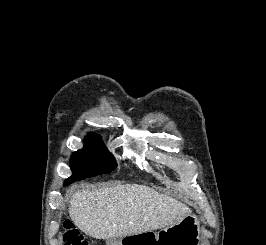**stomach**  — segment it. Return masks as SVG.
I'll return each mask as SVG.
<instances>
[{
	"instance_id": "stomach-1",
	"label": "stomach",
	"mask_w": 266,
	"mask_h": 245,
	"mask_svg": "<svg viewBox=\"0 0 266 245\" xmlns=\"http://www.w3.org/2000/svg\"><path fill=\"white\" fill-rule=\"evenodd\" d=\"M122 242H157L158 245H200V221L187 215L176 225L161 229L159 233H128Z\"/></svg>"
}]
</instances>
